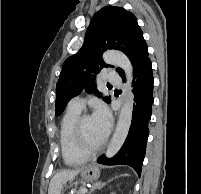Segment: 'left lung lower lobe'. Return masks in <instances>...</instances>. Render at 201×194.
<instances>
[{"label":"left lung lower lobe","mask_w":201,"mask_h":194,"mask_svg":"<svg viewBox=\"0 0 201 194\" xmlns=\"http://www.w3.org/2000/svg\"><path fill=\"white\" fill-rule=\"evenodd\" d=\"M148 49L143 39L131 62L134 65L133 93L135 95L132 121L128 136L119 150L111 159L99 158L98 162L105 165H129L140 176L141 168L146 152L148 139V123L151 119L153 104V83L151 60L148 57ZM123 80L124 74L121 75Z\"/></svg>","instance_id":"0a47b994"}]
</instances>
